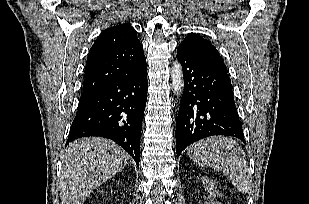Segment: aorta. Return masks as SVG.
Segmentation results:
<instances>
[{
    "label": "aorta",
    "mask_w": 309,
    "mask_h": 204,
    "mask_svg": "<svg viewBox=\"0 0 309 204\" xmlns=\"http://www.w3.org/2000/svg\"><path fill=\"white\" fill-rule=\"evenodd\" d=\"M172 88L175 95L178 97L182 95L184 88V79L182 66L178 61L173 63L171 70Z\"/></svg>",
    "instance_id": "762f6f07"
}]
</instances>
